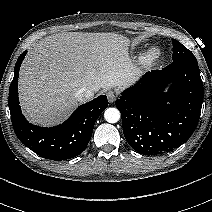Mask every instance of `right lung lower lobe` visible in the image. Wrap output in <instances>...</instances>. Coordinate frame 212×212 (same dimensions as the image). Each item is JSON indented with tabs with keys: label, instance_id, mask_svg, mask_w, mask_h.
Listing matches in <instances>:
<instances>
[{
	"label": "right lung lower lobe",
	"instance_id": "obj_1",
	"mask_svg": "<svg viewBox=\"0 0 212 212\" xmlns=\"http://www.w3.org/2000/svg\"><path fill=\"white\" fill-rule=\"evenodd\" d=\"M26 55L22 53L14 68L9 89V109L13 128L18 139L39 156L51 160H66L82 153L93 132L99 115L107 108L105 95L79 106L62 125L43 128L29 123L21 112L18 98V76Z\"/></svg>",
	"mask_w": 212,
	"mask_h": 212
}]
</instances>
